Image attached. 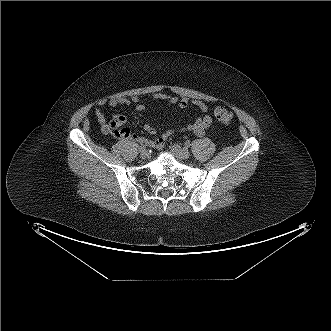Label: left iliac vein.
I'll use <instances>...</instances> for the list:
<instances>
[{
  "label": "left iliac vein",
  "instance_id": "4c4485c4",
  "mask_svg": "<svg viewBox=\"0 0 331 331\" xmlns=\"http://www.w3.org/2000/svg\"><path fill=\"white\" fill-rule=\"evenodd\" d=\"M171 151L175 154L178 158L183 160H188L190 158V153L187 149L182 148L178 144H174L171 146Z\"/></svg>",
  "mask_w": 331,
  "mask_h": 331
}]
</instances>
